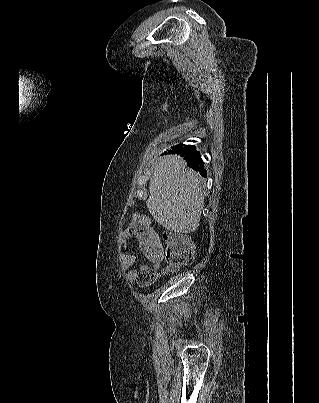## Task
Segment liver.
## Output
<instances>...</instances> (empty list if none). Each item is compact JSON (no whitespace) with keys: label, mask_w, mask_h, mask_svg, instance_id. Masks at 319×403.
<instances>
[{"label":"liver","mask_w":319,"mask_h":403,"mask_svg":"<svg viewBox=\"0 0 319 403\" xmlns=\"http://www.w3.org/2000/svg\"><path fill=\"white\" fill-rule=\"evenodd\" d=\"M149 193L147 208L165 229L187 234L198 228L204 206L202 178L187 168L183 158H160L149 182Z\"/></svg>","instance_id":"6515ba94"}]
</instances>
